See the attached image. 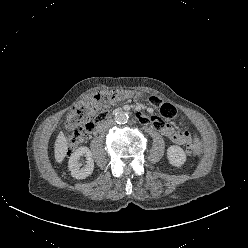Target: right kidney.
<instances>
[{
  "instance_id": "right-kidney-1",
  "label": "right kidney",
  "mask_w": 248,
  "mask_h": 248,
  "mask_svg": "<svg viewBox=\"0 0 248 248\" xmlns=\"http://www.w3.org/2000/svg\"><path fill=\"white\" fill-rule=\"evenodd\" d=\"M81 156L86 157V164L82 168V163L79 162ZM68 169L71 172L72 177L76 179H85L91 175L94 170V160L90 149L88 147H79L76 149L70 156Z\"/></svg>"
}]
</instances>
